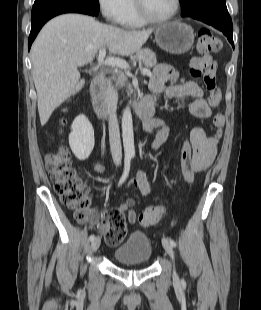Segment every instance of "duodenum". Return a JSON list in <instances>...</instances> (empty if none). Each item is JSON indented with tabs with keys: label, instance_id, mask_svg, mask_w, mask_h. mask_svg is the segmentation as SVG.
<instances>
[{
	"label": "duodenum",
	"instance_id": "410a0bca",
	"mask_svg": "<svg viewBox=\"0 0 261 310\" xmlns=\"http://www.w3.org/2000/svg\"><path fill=\"white\" fill-rule=\"evenodd\" d=\"M91 96L98 114L103 111L104 103V72L98 73L91 82ZM156 101L152 97H145L139 103L132 106L135 114L143 121L144 127L148 128L151 117L155 111Z\"/></svg>",
	"mask_w": 261,
	"mask_h": 310
}]
</instances>
